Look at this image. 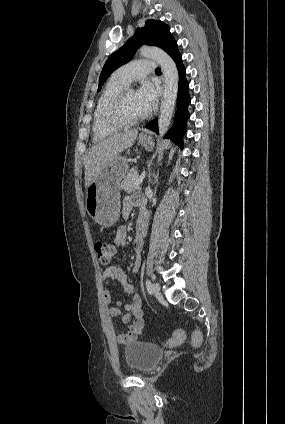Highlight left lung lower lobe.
Returning <instances> with one entry per match:
<instances>
[{
  "instance_id": "0a47b994",
  "label": "left lung lower lobe",
  "mask_w": 285,
  "mask_h": 424,
  "mask_svg": "<svg viewBox=\"0 0 285 424\" xmlns=\"http://www.w3.org/2000/svg\"><path fill=\"white\" fill-rule=\"evenodd\" d=\"M167 53L173 58L177 65V69L179 72V88L174 126L166 137L172 139L181 149H183V136L186 132V122L189 118L188 105L191 101L188 93L189 83L185 77L186 70L182 64V56L178 51L176 41L171 45ZM146 128L158 132L157 119H154L148 124H146Z\"/></svg>"
}]
</instances>
